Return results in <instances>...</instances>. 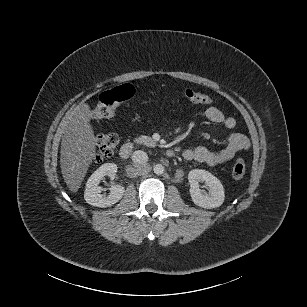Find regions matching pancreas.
Segmentation results:
<instances>
[{
  "label": "pancreas",
  "instance_id": "pancreas-1",
  "mask_svg": "<svg viewBox=\"0 0 307 307\" xmlns=\"http://www.w3.org/2000/svg\"><path fill=\"white\" fill-rule=\"evenodd\" d=\"M136 142L139 144H144L148 147H154L156 144L153 139L149 136L141 135L136 139Z\"/></svg>",
  "mask_w": 307,
  "mask_h": 307
}]
</instances>
